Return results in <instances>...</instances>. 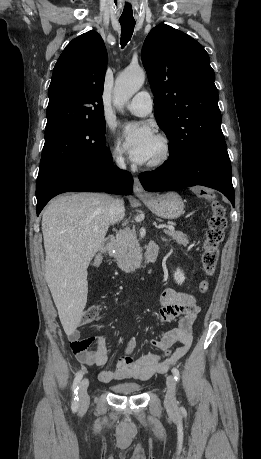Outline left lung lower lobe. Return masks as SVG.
<instances>
[{"label": "left lung lower lobe", "mask_w": 261, "mask_h": 459, "mask_svg": "<svg viewBox=\"0 0 261 459\" xmlns=\"http://www.w3.org/2000/svg\"><path fill=\"white\" fill-rule=\"evenodd\" d=\"M146 191H169L203 185L222 192L235 205L231 164L226 146L199 152L184 164L167 160L161 167L139 175Z\"/></svg>", "instance_id": "obj_1"}]
</instances>
